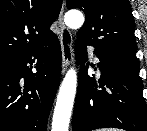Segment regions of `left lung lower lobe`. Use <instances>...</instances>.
Returning a JSON list of instances; mask_svg holds the SVG:
<instances>
[{
  "label": "left lung lower lobe",
  "instance_id": "obj_1",
  "mask_svg": "<svg viewBox=\"0 0 147 131\" xmlns=\"http://www.w3.org/2000/svg\"><path fill=\"white\" fill-rule=\"evenodd\" d=\"M88 45L75 41L76 63L80 64L78 91L72 118V131H91L100 128H121L127 131H147V106L143 98V83L139 71L119 61L99 58V84L88 76ZM94 67V64H91Z\"/></svg>",
  "mask_w": 147,
  "mask_h": 131
}]
</instances>
